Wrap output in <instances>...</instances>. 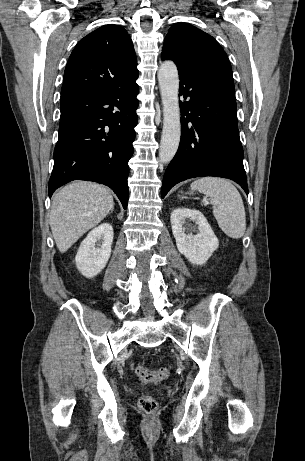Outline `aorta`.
Segmentation results:
<instances>
[{
	"label": "aorta",
	"instance_id": "obj_1",
	"mask_svg": "<svg viewBox=\"0 0 305 461\" xmlns=\"http://www.w3.org/2000/svg\"><path fill=\"white\" fill-rule=\"evenodd\" d=\"M163 104V130L159 149L161 163H169L177 152L180 136V108L178 102L179 76L174 62L164 61L158 71Z\"/></svg>",
	"mask_w": 305,
	"mask_h": 461
}]
</instances>
